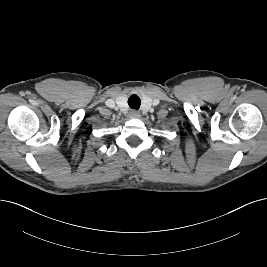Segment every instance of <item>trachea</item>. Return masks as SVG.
Returning <instances> with one entry per match:
<instances>
[{"mask_svg": "<svg viewBox=\"0 0 267 267\" xmlns=\"http://www.w3.org/2000/svg\"><path fill=\"white\" fill-rule=\"evenodd\" d=\"M128 104L131 108L138 110L141 104L140 98L137 95H132L128 99Z\"/></svg>", "mask_w": 267, "mask_h": 267, "instance_id": "trachea-1", "label": "trachea"}]
</instances>
